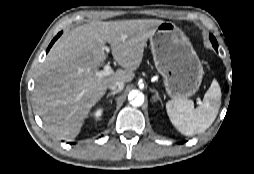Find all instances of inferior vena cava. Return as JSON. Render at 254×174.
<instances>
[{
    "mask_svg": "<svg viewBox=\"0 0 254 174\" xmlns=\"http://www.w3.org/2000/svg\"><path fill=\"white\" fill-rule=\"evenodd\" d=\"M108 88L112 91V92H120L123 90L124 88V82L123 81H115L112 82Z\"/></svg>",
    "mask_w": 254,
    "mask_h": 174,
    "instance_id": "obj_1",
    "label": "inferior vena cava"
}]
</instances>
